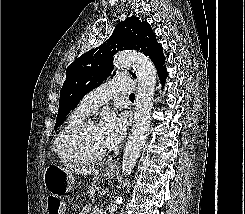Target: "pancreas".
<instances>
[{
  "instance_id": "pancreas-1",
  "label": "pancreas",
  "mask_w": 245,
  "mask_h": 214,
  "mask_svg": "<svg viewBox=\"0 0 245 214\" xmlns=\"http://www.w3.org/2000/svg\"><path fill=\"white\" fill-rule=\"evenodd\" d=\"M98 191H99V187H97L95 184H92L89 186L86 194L89 199L94 201L95 198L98 197V194H97Z\"/></svg>"
}]
</instances>
